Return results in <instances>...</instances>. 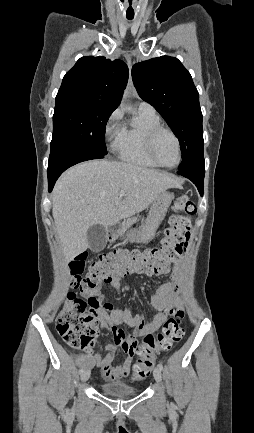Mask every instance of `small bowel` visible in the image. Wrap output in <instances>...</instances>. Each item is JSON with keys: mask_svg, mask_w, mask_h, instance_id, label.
<instances>
[{"mask_svg": "<svg viewBox=\"0 0 254 433\" xmlns=\"http://www.w3.org/2000/svg\"><path fill=\"white\" fill-rule=\"evenodd\" d=\"M181 256L170 261L164 270L158 274H166L170 272L171 266L179 264ZM149 275L157 273H148ZM112 288L120 287V277L114 278L108 283ZM179 288V282L176 278L162 284L156 295L151 298L152 306L158 311L154 319L150 322L145 321L144 314H134L129 308L123 310H115L108 303H103L101 291L83 293L85 298L94 295L100 301L99 306V321L101 327L110 333L114 338L113 344L105 346L106 353H90L79 357L78 364L84 369H90L94 366L100 368L104 379L112 381L121 378H126L130 375L132 360L135 355V348L139 346L137 337L152 333L159 329L164 321L177 310H181L182 303L175 301L174 297ZM122 324H126L133 328L132 332H126L120 328ZM122 349L125 353V359L118 365H112L114 354L118 349Z\"/></svg>", "mask_w": 254, "mask_h": 433, "instance_id": "1", "label": "small bowel"}]
</instances>
